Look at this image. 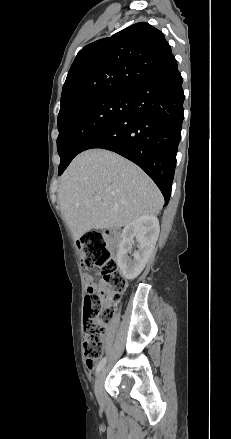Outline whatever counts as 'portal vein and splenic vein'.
Instances as JSON below:
<instances>
[{
    "mask_svg": "<svg viewBox=\"0 0 231 439\" xmlns=\"http://www.w3.org/2000/svg\"><path fill=\"white\" fill-rule=\"evenodd\" d=\"M96 199H97V200H100V197H99V196H96Z\"/></svg>",
    "mask_w": 231,
    "mask_h": 439,
    "instance_id": "obj_1",
    "label": "portal vein and splenic vein"
}]
</instances>
